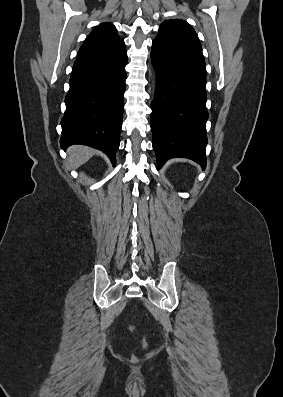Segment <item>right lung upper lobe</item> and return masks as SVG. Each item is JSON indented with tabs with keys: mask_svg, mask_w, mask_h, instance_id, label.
Masks as SVG:
<instances>
[{
	"mask_svg": "<svg viewBox=\"0 0 283 397\" xmlns=\"http://www.w3.org/2000/svg\"><path fill=\"white\" fill-rule=\"evenodd\" d=\"M127 57L123 39L111 23L97 26L80 47L72 72L110 65Z\"/></svg>",
	"mask_w": 283,
	"mask_h": 397,
	"instance_id": "1",
	"label": "right lung upper lobe"
}]
</instances>
